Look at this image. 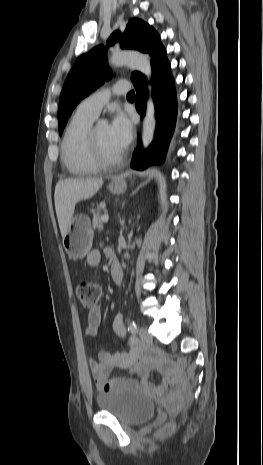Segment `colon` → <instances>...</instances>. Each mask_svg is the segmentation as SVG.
Listing matches in <instances>:
<instances>
[{
    "instance_id": "5ec220e1",
    "label": "colon",
    "mask_w": 263,
    "mask_h": 465,
    "mask_svg": "<svg viewBox=\"0 0 263 465\" xmlns=\"http://www.w3.org/2000/svg\"><path fill=\"white\" fill-rule=\"evenodd\" d=\"M101 295L100 287L93 282H82L77 287V296L83 307L92 309L96 306ZM183 385L178 379H175L170 384L166 385L161 394L160 398L164 399L166 409L170 413H176L184 401L182 394ZM168 428V427H167Z\"/></svg>"
}]
</instances>
